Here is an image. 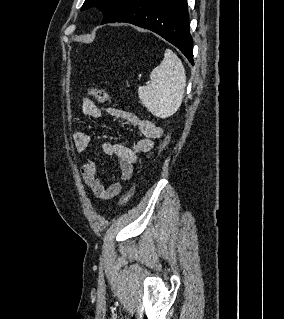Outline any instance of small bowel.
I'll use <instances>...</instances> for the list:
<instances>
[{"label":"small bowel","instance_id":"obj_1","mask_svg":"<svg viewBox=\"0 0 284 319\" xmlns=\"http://www.w3.org/2000/svg\"><path fill=\"white\" fill-rule=\"evenodd\" d=\"M81 108L84 115L96 119L109 115L138 127L142 138L133 147L112 142H104L102 145L105 154L117 158L121 180H129L133 175L134 165L140 155L149 152L154 147L155 141L163 135L162 128L151 120L140 119L132 112L118 108L102 107L88 98L82 100ZM73 141L78 153L89 152L91 138L85 130L78 129L73 135ZM81 172L85 184L91 189L95 197L101 200H109L121 193L122 185L115 177H111L107 185L103 183L96 163L92 158L89 157L86 160Z\"/></svg>","mask_w":284,"mask_h":319}]
</instances>
